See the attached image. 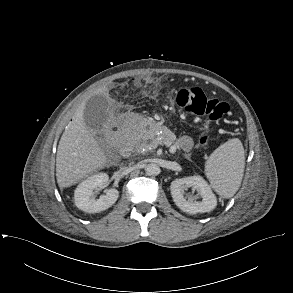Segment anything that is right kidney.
Here are the masks:
<instances>
[{"label":"right kidney","instance_id":"ca27d5eb","mask_svg":"<svg viewBox=\"0 0 293 293\" xmlns=\"http://www.w3.org/2000/svg\"><path fill=\"white\" fill-rule=\"evenodd\" d=\"M108 179L106 173H98L81 182L74 192L77 208L87 213H98L111 207L118 199L119 192L117 189H108L106 194L101 195L97 200L91 197L92 191L97 187L106 185Z\"/></svg>","mask_w":293,"mask_h":293}]
</instances>
